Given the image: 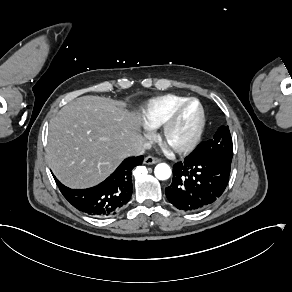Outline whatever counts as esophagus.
<instances>
[{
	"mask_svg": "<svg viewBox=\"0 0 292 292\" xmlns=\"http://www.w3.org/2000/svg\"><path fill=\"white\" fill-rule=\"evenodd\" d=\"M161 160L156 158V157H152V156H147L145 157L144 159V164H147V165H151V164H156V163H159Z\"/></svg>",
	"mask_w": 292,
	"mask_h": 292,
	"instance_id": "1",
	"label": "esophagus"
}]
</instances>
